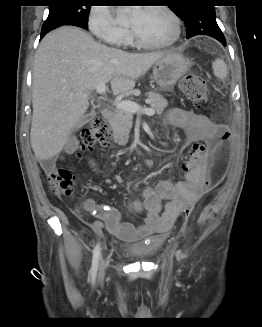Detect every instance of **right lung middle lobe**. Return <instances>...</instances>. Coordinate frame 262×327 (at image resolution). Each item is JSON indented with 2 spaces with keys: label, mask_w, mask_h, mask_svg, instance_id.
Returning a JSON list of instances; mask_svg holds the SVG:
<instances>
[{
  "label": "right lung middle lobe",
  "mask_w": 262,
  "mask_h": 327,
  "mask_svg": "<svg viewBox=\"0 0 262 327\" xmlns=\"http://www.w3.org/2000/svg\"><path fill=\"white\" fill-rule=\"evenodd\" d=\"M58 4L49 6V15L43 27L52 26L62 22H79L87 25L90 6H80L74 0H56Z\"/></svg>",
  "instance_id": "dd1d6c3e"
}]
</instances>
